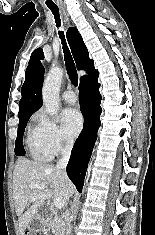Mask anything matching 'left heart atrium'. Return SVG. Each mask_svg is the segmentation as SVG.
Instances as JSON below:
<instances>
[{
    "label": "left heart atrium",
    "mask_w": 155,
    "mask_h": 235,
    "mask_svg": "<svg viewBox=\"0 0 155 235\" xmlns=\"http://www.w3.org/2000/svg\"><path fill=\"white\" fill-rule=\"evenodd\" d=\"M63 126L67 135L77 136L83 128V117L76 109H66L62 114Z\"/></svg>",
    "instance_id": "1"
}]
</instances>
